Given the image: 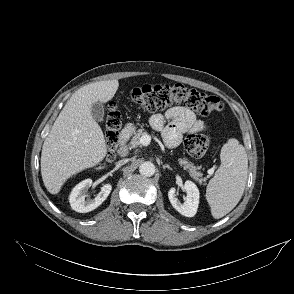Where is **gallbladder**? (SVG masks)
I'll list each match as a JSON object with an SVG mask.
<instances>
[{
	"mask_svg": "<svg viewBox=\"0 0 294 294\" xmlns=\"http://www.w3.org/2000/svg\"><path fill=\"white\" fill-rule=\"evenodd\" d=\"M104 107L100 102H95L91 107V115L95 121H102L104 117Z\"/></svg>",
	"mask_w": 294,
	"mask_h": 294,
	"instance_id": "1",
	"label": "gallbladder"
}]
</instances>
